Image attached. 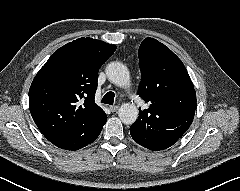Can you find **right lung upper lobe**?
I'll list each match as a JSON object with an SVG mask.
<instances>
[{
    "label": "right lung upper lobe",
    "instance_id": "1",
    "mask_svg": "<svg viewBox=\"0 0 240 191\" xmlns=\"http://www.w3.org/2000/svg\"><path fill=\"white\" fill-rule=\"evenodd\" d=\"M115 50V45L79 38L56 50L39 70L29 89V107L49 141L88 133L107 118L94 98L98 70Z\"/></svg>",
    "mask_w": 240,
    "mask_h": 191
}]
</instances>
